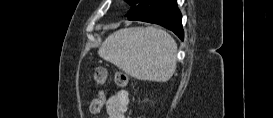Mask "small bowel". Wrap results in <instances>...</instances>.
I'll return each mask as SVG.
<instances>
[{
    "instance_id": "small-bowel-1",
    "label": "small bowel",
    "mask_w": 273,
    "mask_h": 118,
    "mask_svg": "<svg viewBox=\"0 0 273 118\" xmlns=\"http://www.w3.org/2000/svg\"><path fill=\"white\" fill-rule=\"evenodd\" d=\"M129 104V93L120 90L109 97L106 102V113L108 118H125Z\"/></svg>"
}]
</instances>
